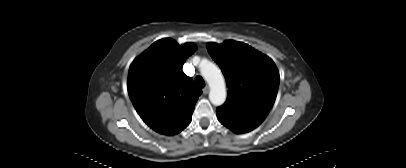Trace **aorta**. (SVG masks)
<instances>
[{"label":"aorta","mask_w":406,"mask_h":168,"mask_svg":"<svg viewBox=\"0 0 406 168\" xmlns=\"http://www.w3.org/2000/svg\"><path fill=\"white\" fill-rule=\"evenodd\" d=\"M200 72L210 86L209 99L215 106L226 100V84L221 70L212 62L206 61L200 66Z\"/></svg>","instance_id":"762f6f07"}]
</instances>
